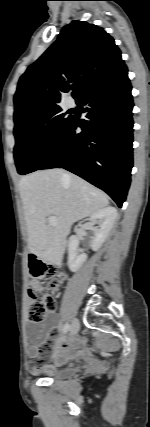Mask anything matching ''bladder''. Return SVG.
<instances>
[{
  "mask_svg": "<svg viewBox=\"0 0 150 427\" xmlns=\"http://www.w3.org/2000/svg\"><path fill=\"white\" fill-rule=\"evenodd\" d=\"M75 373V367L64 357L59 358L49 368V378L53 380H64L72 377Z\"/></svg>",
  "mask_w": 150,
  "mask_h": 427,
  "instance_id": "31cf9c89",
  "label": "bladder"
}]
</instances>
